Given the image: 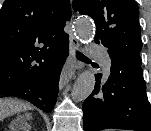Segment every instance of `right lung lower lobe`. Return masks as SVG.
Instances as JSON below:
<instances>
[{"mask_svg": "<svg viewBox=\"0 0 151 131\" xmlns=\"http://www.w3.org/2000/svg\"><path fill=\"white\" fill-rule=\"evenodd\" d=\"M69 39L55 45L43 67L31 76L8 88L1 97H17L34 104L44 112L54 108L57 100L59 76L69 53Z\"/></svg>", "mask_w": 151, "mask_h": 131, "instance_id": "98d812e1", "label": "right lung lower lobe"}]
</instances>
